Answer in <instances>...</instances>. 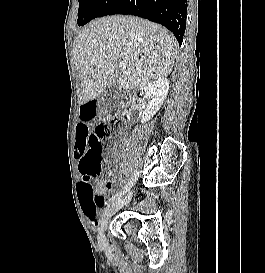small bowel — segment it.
Returning a JSON list of instances; mask_svg holds the SVG:
<instances>
[{
  "label": "small bowel",
  "mask_w": 265,
  "mask_h": 273,
  "mask_svg": "<svg viewBox=\"0 0 265 273\" xmlns=\"http://www.w3.org/2000/svg\"><path fill=\"white\" fill-rule=\"evenodd\" d=\"M81 109L79 118L82 119L83 123H90L91 119H95L96 109L94 103H81ZM94 124H75V129H94ZM76 159L78 168L80 170L81 157L76 153ZM119 154H113V160L118 161ZM81 172V171H80ZM111 181H98L96 183V190L92 194H81L80 203L84 216L92 224H95L98 218V212L103 208L109 201L106 195V191L111 187Z\"/></svg>",
  "instance_id": "obj_1"
}]
</instances>
